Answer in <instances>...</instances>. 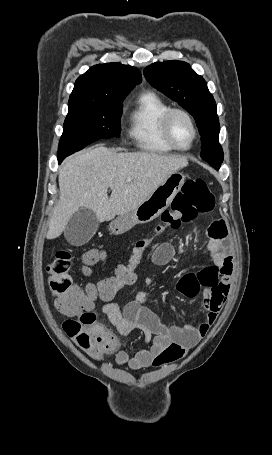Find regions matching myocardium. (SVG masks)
I'll use <instances>...</instances> for the list:
<instances>
[{"mask_svg": "<svg viewBox=\"0 0 272 455\" xmlns=\"http://www.w3.org/2000/svg\"><path fill=\"white\" fill-rule=\"evenodd\" d=\"M176 114H180V115L184 116L192 128L193 137H192L190 144L187 147H180L173 140L170 125H171V120H172L173 116ZM161 132H162V136H163L165 142L173 150L180 151V152L189 151L194 146V144L198 138V128H197V125H196L193 117L191 116V114L188 111H186L182 108H169L163 114V116L161 118Z\"/></svg>", "mask_w": 272, "mask_h": 455, "instance_id": "f54148a6", "label": "myocardium"}]
</instances>
